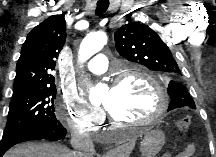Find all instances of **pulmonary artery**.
<instances>
[{"label":"pulmonary artery","instance_id":"pulmonary-artery-1","mask_svg":"<svg viewBox=\"0 0 216 157\" xmlns=\"http://www.w3.org/2000/svg\"><path fill=\"white\" fill-rule=\"evenodd\" d=\"M86 69L95 74L104 73L108 67V57L105 54H97L85 65Z\"/></svg>","mask_w":216,"mask_h":157}]
</instances>
